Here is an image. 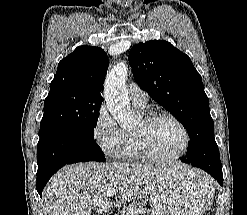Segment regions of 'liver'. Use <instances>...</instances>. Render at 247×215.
I'll return each instance as SVG.
<instances>
[{
    "label": "liver",
    "mask_w": 247,
    "mask_h": 215,
    "mask_svg": "<svg viewBox=\"0 0 247 215\" xmlns=\"http://www.w3.org/2000/svg\"><path fill=\"white\" fill-rule=\"evenodd\" d=\"M180 163H85L65 166L44 189V204L49 215H105L113 207L106 192L116 191L127 204L154 190Z\"/></svg>",
    "instance_id": "obj_1"
}]
</instances>
